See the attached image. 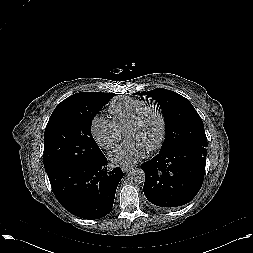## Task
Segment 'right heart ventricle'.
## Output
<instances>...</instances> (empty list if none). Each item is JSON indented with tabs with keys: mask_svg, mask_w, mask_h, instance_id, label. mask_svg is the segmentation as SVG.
<instances>
[{
	"mask_svg": "<svg viewBox=\"0 0 253 253\" xmlns=\"http://www.w3.org/2000/svg\"><path fill=\"white\" fill-rule=\"evenodd\" d=\"M145 105V101L140 99L120 97L111 103L109 113L113 123L118 129H121L125 127L133 116Z\"/></svg>",
	"mask_w": 253,
	"mask_h": 253,
	"instance_id": "right-heart-ventricle-1",
	"label": "right heart ventricle"
}]
</instances>
